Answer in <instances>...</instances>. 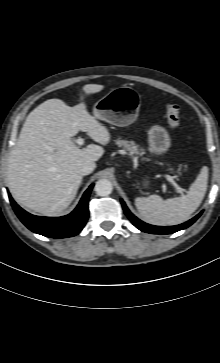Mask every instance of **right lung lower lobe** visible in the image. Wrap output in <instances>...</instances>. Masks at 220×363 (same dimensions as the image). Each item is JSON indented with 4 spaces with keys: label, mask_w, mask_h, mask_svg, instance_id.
I'll return each instance as SVG.
<instances>
[{
    "label": "right lung lower lobe",
    "mask_w": 220,
    "mask_h": 363,
    "mask_svg": "<svg viewBox=\"0 0 220 363\" xmlns=\"http://www.w3.org/2000/svg\"><path fill=\"white\" fill-rule=\"evenodd\" d=\"M93 184L86 190L76 209L63 217L34 216L19 207L9 194L11 205L23 222L31 231L51 238H66L78 234L85 226L88 219V199Z\"/></svg>",
    "instance_id": "98d812e1"
}]
</instances>
